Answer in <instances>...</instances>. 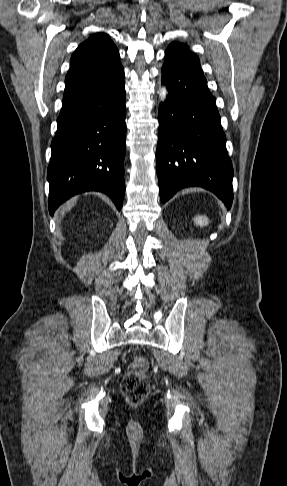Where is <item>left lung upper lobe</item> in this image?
<instances>
[{"label": "left lung upper lobe", "mask_w": 287, "mask_h": 486, "mask_svg": "<svg viewBox=\"0 0 287 486\" xmlns=\"http://www.w3.org/2000/svg\"><path fill=\"white\" fill-rule=\"evenodd\" d=\"M166 57L175 61L194 74L205 78L200 67L198 56L192 53L189 47L183 43L173 42L166 49Z\"/></svg>", "instance_id": "5c2ea615"}]
</instances>
